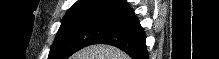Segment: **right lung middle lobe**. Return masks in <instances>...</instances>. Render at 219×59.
<instances>
[{
	"label": "right lung middle lobe",
	"instance_id": "1",
	"mask_svg": "<svg viewBox=\"0 0 219 59\" xmlns=\"http://www.w3.org/2000/svg\"><path fill=\"white\" fill-rule=\"evenodd\" d=\"M127 20L113 11H87L65 16L48 59H68L76 51Z\"/></svg>",
	"mask_w": 219,
	"mask_h": 59
}]
</instances>
